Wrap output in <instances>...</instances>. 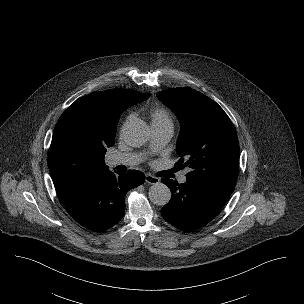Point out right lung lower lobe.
<instances>
[{"instance_id":"98d812e1","label":"right lung lower lobe","mask_w":304,"mask_h":304,"mask_svg":"<svg viewBox=\"0 0 304 304\" xmlns=\"http://www.w3.org/2000/svg\"><path fill=\"white\" fill-rule=\"evenodd\" d=\"M97 173L76 197L64 204L68 213L82 226L95 232L117 224L125 212V195L141 185L145 176L137 170L128 173Z\"/></svg>"}]
</instances>
